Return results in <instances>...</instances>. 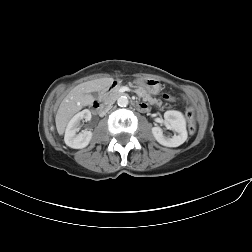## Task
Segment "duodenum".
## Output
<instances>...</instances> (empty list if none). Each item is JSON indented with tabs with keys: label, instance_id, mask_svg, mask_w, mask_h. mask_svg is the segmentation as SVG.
Wrapping results in <instances>:
<instances>
[{
	"label": "duodenum",
	"instance_id": "1",
	"mask_svg": "<svg viewBox=\"0 0 252 252\" xmlns=\"http://www.w3.org/2000/svg\"><path fill=\"white\" fill-rule=\"evenodd\" d=\"M116 86H117L116 82H113L112 84H110L107 88V92L105 95L107 96L111 91H113L116 88ZM135 105L137 108L143 109L142 103L136 102ZM92 107H93V110L97 113H100L104 110L102 102L98 100L93 103Z\"/></svg>",
	"mask_w": 252,
	"mask_h": 252
}]
</instances>
